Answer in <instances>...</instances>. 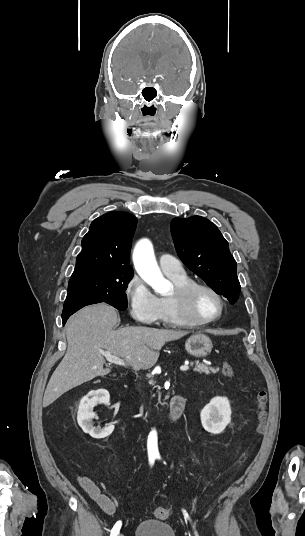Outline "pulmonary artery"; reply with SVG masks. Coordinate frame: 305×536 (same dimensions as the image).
<instances>
[{
    "mask_svg": "<svg viewBox=\"0 0 305 536\" xmlns=\"http://www.w3.org/2000/svg\"><path fill=\"white\" fill-rule=\"evenodd\" d=\"M158 262H159L160 268L165 274L181 275L185 272L184 268L179 263V261L171 255H168V254L160 255L158 258Z\"/></svg>",
    "mask_w": 305,
    "mask_h": 536,
    "instance_id": "e3ab8cb5",
    "label": "pulmonary artery"
}]
</instances>
